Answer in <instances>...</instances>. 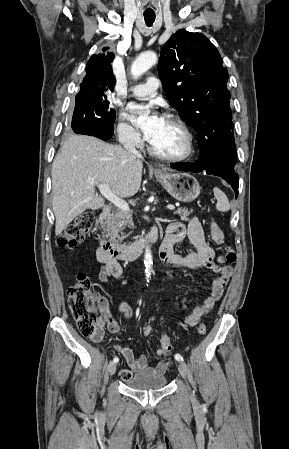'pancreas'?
Segmentation results:
<instances>
[{
    "label": "pancreas",
    "mask_w": 289,
    "mask_h": 449,
    "mask_svg": "<svg viewBox=\"0 0 289 449\" xmlns=\"http://www.w3.org/2000/svg\"><path fill=\"white\" fill-rule=\"evenodd\" d=\"M175 214L179 215L182 220L187 221L191 211L186 208H178ZM132 215L129 212L115 211L107 216L104 223V232L106 237L115 244L121 243L127 235L123 233L125 227H133L134 223L131 220ZM121 235V236H120Z\"/></svg>",
    "instance_id": "1"
}]
</instances>
